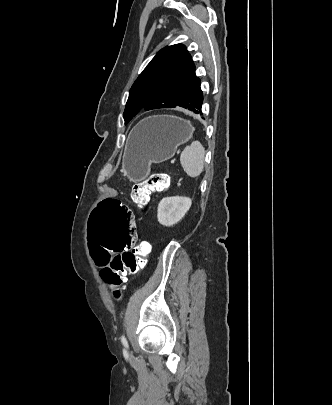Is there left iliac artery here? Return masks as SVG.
I'll return each instance as SVG.
<instances>
[{"label": "left iliac artery", "mask_w": 332, "mask_h": 405, "mask_svg": "<svg viewBox=\"0 0 332 405\" xmlns=\"http://www.w3.org/2000/svg\"><path fill=\"white\" fill-rule=\"evenodd\" d=\"M121 342H122V344H123L124 346H127V345H128V344H127V340H126V338H125L124 335L121 336Z\"/></svg>", "instance_id": "left-iliac-artery-1"}]
</instances>
